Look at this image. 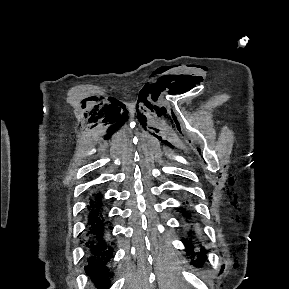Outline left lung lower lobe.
Returning <instances> with one entry per match:
<instances>
[{
  "instance_id": "left-lung-lower-lobe-1",
  "label": "left lung lower lobe",
  "mask_w": 289,
  "mask_h": 289,
  "mask_svg": "<svg viewBox=\"0 0 289 289\" xmlns=\"http://www.w3.org/2000/svg\"><path fill=\"white\" fill-rule=\"evenodd\" d=\"M182 213H185L186 216H189V214L187 213V211L185 209H181ZM189 235H194L193 230H191V227H189ZM183 243L185 244L187 251L190 255H194V247H193V243H192V239H183ZM203 253H207V251L204 248H201V252L197 255V257H199V262L197 263V265H201L203 263V259L205 258V256L203 255ZM195 262V261H194Z\"/></svg>"
}]
</instances>
